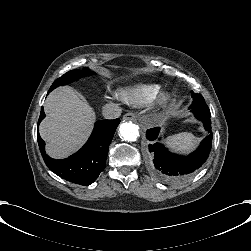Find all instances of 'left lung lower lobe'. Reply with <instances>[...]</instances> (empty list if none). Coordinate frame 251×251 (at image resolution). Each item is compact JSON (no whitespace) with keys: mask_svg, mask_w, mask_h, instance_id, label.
<instances>
[{"mask_svg":"<svg viewBox=\"0 0 251 251\" xmlns=\"http://www.w3.org/2000/svg\"><path fill=\"white\" fill-rule=\"evenodd\" d=\"M196 118L203 122L209 135L201 142L196 151L188 156H180L168 151L161 143L157 142L160 128L148 129L146 138L149 140V152L153 155L152 172L160 180L174 183L185 180L194 174L207 160L212 141L210 112L190 107Z\"/></svg>","mask_w":251,"mask_h":251,"instance_id":"0a47b994","label":"left lung lower lobe"}]
</instances>
